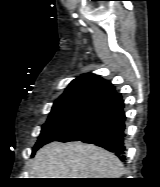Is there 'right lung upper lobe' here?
<instances>
[{
	"instance_id": "obj_1",
	"label": "right lung upper lobe",
	"mask_w": 160,
	"mask_h": 187,
	"mask_svg": "<svg viewBox=\"0 0 160 187\" xmlns=\"http://www.w3.org/2000/svg\"><path fill=\"white\" fill-rule=\"evenodd\" d=\"M115 93V88L110 82L95 74L87 73L74 79L55 101L53 107L75 103L98 105Z\"/></svg>"
}]
</instances>
